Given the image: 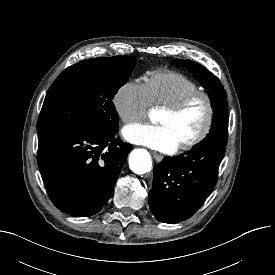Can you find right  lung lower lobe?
Wrapping results in <instances>:
<instances>
[{"label":"right lung lower lobe","mask_w":275,"mask_h":275,"mask_svg":"<svg viewBox=\"0 0 275 275\" xmlns=\"http://www.w3.org/2000/svg\"><path fill=\"white\" fill-rule=\"evenodd\" d=\"M112 131H68L39 139L37 161L53 204L76 217L92 216L108 201L132 149Z\"/></svg>","instance_id":"98d812e1"}]
</instances>
